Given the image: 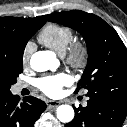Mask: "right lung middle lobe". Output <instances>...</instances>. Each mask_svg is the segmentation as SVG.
Here are the masks:
<instances>
[{
	"label": "right lung middle lobe",
	"instance_id": "right-lung-middle-lobe-1",
	"mask_svg": "<svg viewBox=\"0 0 127 127\" xmlns=\"http://www.w3.org/2000/svg\"><path fill=\"white\" fill-rule=\"evenodd\" d=\"M40 27L31 30L15 39L8 45L6 52H0V95L11 93L10 87L23 71V51L28 40Z\"/></svg>",
	"mask_w": 127,
	"mask_h": 127
}]
</instances>
